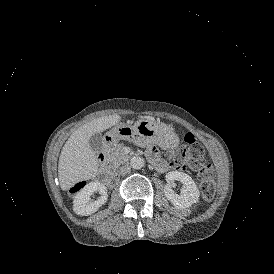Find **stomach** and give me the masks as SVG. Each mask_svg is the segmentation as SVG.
Returning <instances> with one entry per match:
<instances>
[{"instance_id": "obj_1", "label": "stomach", "mask_w": 274, "mask_h": 274, "mask_svg": "<svg viewBox=\"0 0 274 274\" xmlns=\"http://www.w3.org/2000/svg\"><path fill=\"white\" fill-rule=\"evenodd\" d=\"M106 137L111 144L125 140L141 147L155 143L164 149H172L178 143L171 127L149 118L139 119L133 125L117 123L106 133Z\"/></svg>"}]
</instances>
